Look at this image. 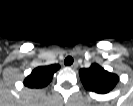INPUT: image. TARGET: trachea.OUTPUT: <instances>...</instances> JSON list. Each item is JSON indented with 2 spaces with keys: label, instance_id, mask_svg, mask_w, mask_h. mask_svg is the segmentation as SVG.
I'll use <instances>...</instances> for the list:
<instances>
[{
  "label": "trachea",
  "instance_id": "obj_1",
  "mask_svg": "<svg viewBox=\"0 0 133 106\" xmlns=\"http://www.w3.org/2000/svg\"><path fill=\"white\" fill-rule=\"evenodd\" d=\"M73 61H74L73 58L70 57V56H68V57L65 58L64 64H65L66 66H69V65H72V64H73Z\"/></svg>",
  "mask_w": 133,
  "mask_h": 106
}]
</instances>
